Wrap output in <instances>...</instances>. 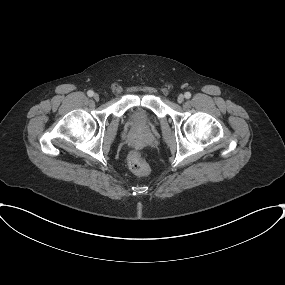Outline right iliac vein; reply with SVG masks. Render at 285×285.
I'll return each instance as SVG.
<instances>
[{
	"instance_id": "right-iliac-vein-1",
	"label": "right iliac vein",
	"mask_w": 285,
	"mask_h": 285,
	"mask_svg": "<svg viewBox=\"0 0 285 285\" xmlns=\"http://www.w3.org/2000/svg\"><path fill=\"white\" fill-rule=\"evenodd\" d=\"M93 98H94V100L99 101V95H98L97 93H95V94L93 95Z\"/></svg>"
}]
</instances>
